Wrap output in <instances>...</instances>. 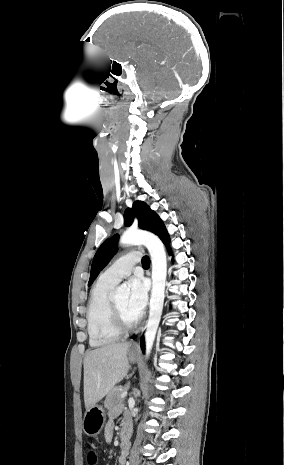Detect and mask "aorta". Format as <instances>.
<instances>
[{"label":"aorta","instance_id":"1","mask_svg":"<svg viewBox=\"0 0 284 465\" xmlns=\"http://www.w3.org/2000/svg\"><path fill=\"white\" fill-rule=\"evenodd\" d=\"M122 245H139L147 247L152 260V291L150 299V311L145 332L146 357L148 358L156 336L162 315L165 282L167 274V260L164 246L161 240L152 233L141 230H128L120 238ZM129 289L126 286L117 288V298L126 297Z\"/></svg>","mask_w":284,"mask_h":465}]
</instances>
